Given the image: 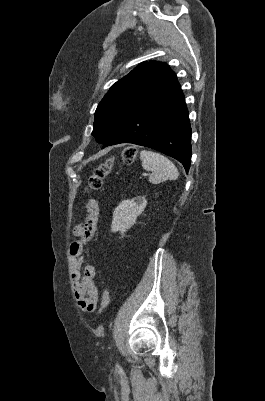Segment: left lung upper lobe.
<instances>
[{"instance_id":"1","label":"left lung upper lobe","mask_w":265,"mask_h":401,"mask_svg":"<svg viewBox=\"0 0 265 401\" xmlns=\"http://www.w3.org/2000/svg\"><path fill=\"white\" fill-rule=\"evenodd\" d=\"M177 81L175 73L163 62L139 64L112 85L99 103L92 135L104 144L141 108L157 98Z\"/></svg>"}]
</instances>
